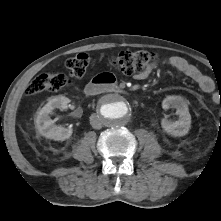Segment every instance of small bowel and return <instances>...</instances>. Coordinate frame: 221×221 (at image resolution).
<instances>
[{
	"mask_svg": "<svg viewBox=\"0 0 221 221\" xmlns=\"http://www.w3.org/2000/svg\"><path fill=\"white\" fill-rule=\"evenodd\" d=\"M167 63L176 71L195 81L203 92L211 94V100L214 104H221V99H219L220 96L214 92L213 81L208 76L204 75L196 66L178 56L168 58ZM152 69L153 65L148 66L143 72L136 74L135 78L138 80L146 79L150 75Z\"/></svg>",
	"mask_w": 221,
	"mask_h": 221,
	"instance_id": "obj_1",
	"label": "small bowel"
}]
</instances>
